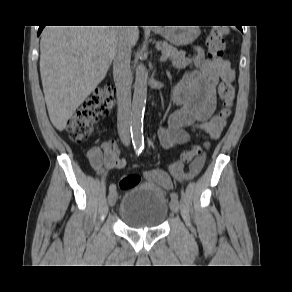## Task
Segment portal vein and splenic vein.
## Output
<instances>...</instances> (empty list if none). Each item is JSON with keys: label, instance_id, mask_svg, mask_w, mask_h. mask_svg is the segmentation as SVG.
Masks as SVG:
<instances>
[{"label": "portal vein and splenic vein", "instance_id": "portal-vein-and-splenic-vein-1", "mask_svg": "<svg viewBox=\"0 0 292 292\" xmlns=\"http://www.w3.org/2000/svg\"><path fill=\"white\" fill-rule=\"evenodd\" d=\"M166 59H167V57L164 56V55L160 57V61H164V60H166Z\"/></svg>", "mask_w": 292, "mask_h": 292}]
</instances>
